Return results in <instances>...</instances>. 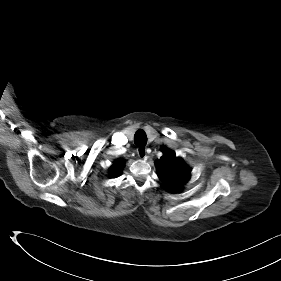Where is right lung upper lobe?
Wrapping results in <instances>:
<instances>
[{"label": "right lung upper lobe", "instance_id": "right-lung-upper-lobe-1", "mask_svg": "<svg viewBox=\"0 0 281 281\" xmlns=\"http://www.w3.org/2000/svg\"><path fill=\"white\" fill-rule=\"evenodd\" d=\"M125 161L122 159L116 160L110 168V174L114 177L120 176Z\"/></svg>", "mask_w": 281, "mask_h": 281}]
</instances>
